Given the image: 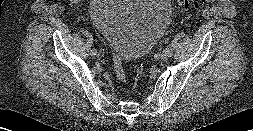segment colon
Wrapping results in <instances>:
<instances>
[{
  "mask_svg": "<svg viewBox=\"0 0 253 131\" xmlns=\"http://www.w3.org/2000/svg\"><path fill=\"white\" fill-rule=\"evenodd\" d=\"M214 1L215 0H176V5L179 8L187 9L190 6H196V5L202 4V3H211ZM113 65H114V70H115L118 80L122 83H126L127 78H126V74H125V71H124V68L122 65V61H121V58L119 57V55H117V54H114Z\"/></svg>",
  "mask_w": 253,
  "mask_h": 131,
  "instance_id": "obj_1",
  "label": "colon"
}]
</instances>
